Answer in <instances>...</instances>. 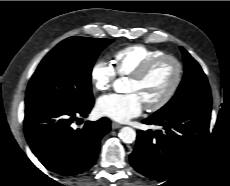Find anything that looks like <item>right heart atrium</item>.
Segmentation results:
<instances>
[{"label":"right heart atrium","mask_w":230,"mask_h":186,"mask_svg":"<svg viewBox=\"0 0 230 186\" xmlns=\"http://www.w3.org/2000/svg\"><path fill=\"white\" fill-rule=\"evenodd\" d=\"M90 79L94 90L104 92L112 87L116 79V71L110 62L100 59L92 66Z\"/></svg>","instance_id":"right-heart-atrium-1"}]
</instances>
